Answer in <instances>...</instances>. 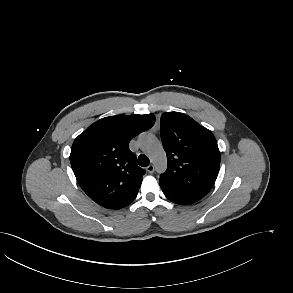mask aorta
I'll return each instance as SVG.
<instances>
[{"label": "aorta", "mask_w": 293, "mask_h": 293, "mask_svg": "<svg viewBox=\"0 0 293 293\" xmlns=\"http://www.w3.org/2000/svg\"><path fill=\"white\" fill-rule=\"evenodd\" d=\"M140 144L155 165L157 171H164L167 165L166 155L158 139L151 134H145L140 138Z\"/></svg>", "instance_id": "obj_1"}]
</instances>
